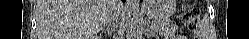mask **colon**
<instances>
[{
  "instance_id": "obj_1",
  "label": "colon",
  "mask_w": 249,
  "mask_h": 39,
  "mask_svg": "<svg viewBox=\"0 0 249 39\" xmlns=\"http://www.w3.org/2000/svg\"><path fill=\"white\" fill-rule=\"evenodd\" d=\"M184 14L189 27L191 28L192 31H195L197 28V20H196L198 14L197 8L194 6H189L186 8Z\"/></svg>"
}]
</instances>
